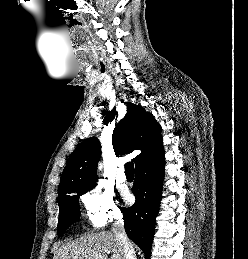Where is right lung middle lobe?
Segmentation results:
<instances>
[{
  "label": "right lung middle lobe",
  "instance_id": "right-lung-middle-lobe-1",
  "mask_svg": "<svg viewBox=\"0 0 248 259\" xmlns=\"http://www.w3.org/2000/svg\"><path fill=\"white\" fill-rule=\"evenodd\" d=\"M95 185L81 187L58 198L59 222L58 235H62L70 224L80 220L79 196L94 188ZM76 193V195H71Z\"/></svg>",
  "mask_w": 248,
  "mask_h": 259
}]
</instances>
